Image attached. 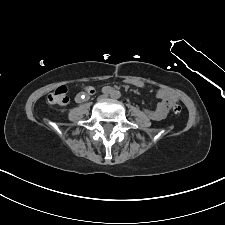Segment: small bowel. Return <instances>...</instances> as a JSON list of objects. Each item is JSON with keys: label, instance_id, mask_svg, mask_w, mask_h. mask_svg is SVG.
I'll return each mask as SVG.
<instances>
[{"label": "small bowel", "instance_id": "1", "mask_svg": "<svg viewBox=\"0 0 225 225\" xmlns=\"http://www.w3.org/2000/svg\"><path fill=\"white\" fill-rule=\"evenodd\" d=\"M127 83L140 88L145 86V83L141 80H129ZM94 92V88L88 86L76 94L75 101L81 103ZM156 98L159 100L157 108L155 110L146 109L145 113L150 119L162 120L167 117L171 108L178 102V99L173 93L163 88L156 91Z\"/></svg>", "mask_w": 225, "mask_h": 225}]
</instances>
